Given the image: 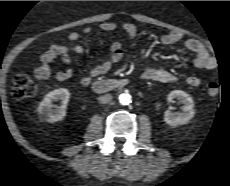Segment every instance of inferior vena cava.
Wrapping results in <instances>:
<instances>
[{"mask_svg":"<svg viewBox=\"0 0 230 186\" xmlns=\"http://www.w3.org/2000/svg\"><path fill=\"white\" fill-rule=\"evenodd\" d=\"M112 100V95L111 94H104L98 98V101L100 103H108Z\"/></svg>","mask_w":230,"mask_h":186,"instance_id":"1","label":"inferior vena cava"}]
</instances>
